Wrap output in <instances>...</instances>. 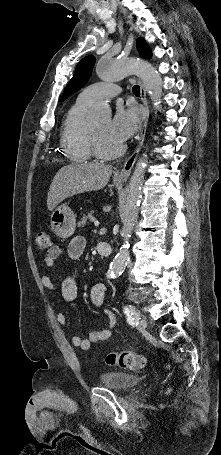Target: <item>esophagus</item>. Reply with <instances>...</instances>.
Returning a JSON list of instances; mask_svg holds the SVG:
<instances>
[{"mask_svg":"<svg viewBox=\"0 0 221 455\" xmlns=\"http://www.w3.org/2000/svg\"><path fill=\"white\" fill-rule=\"evenodd\" d=\"M138 82H139V85H140V93H141L142 103H143L144 109H145L144 123H143L141 131H140L139 144H138L136 150L125 161L121 172L116 177V180L120 181V182L126 181L127 178L129 177L130 173H131V170H132V168H133V166L135 164V161H136V159H137V157L139 155V152L141 150V147L143 145L144 138H145V133H146V129H147V124H148V119H149V107H148V102H147V98H146V90H145V87H144V84H143L142 80L138 79Z\"/></svg>","mask_w":221,"mask_h":455,"instance_id":"34e87169","label":"esophagus"}]
</instances>
